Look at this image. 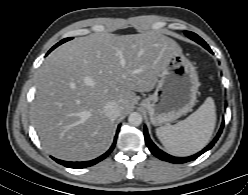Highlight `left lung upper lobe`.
Listing matches in <instances>:
<instances>
[{
  "instance_id": "obj_1",
  "label": "left lung upper lobe",
  "mask_w": 248,
  "mask_h": 195,
  "mask_svg": "<svg viewBox=\"0 0 248 195\" xmlns=\"http://www.w3.org/2000/svg\"><path fill=\"white\" fill-rule=\"evenodd\" d=\"M185 34L192 40L196 41L197 43H199L200 45H202L204 48L207 49V47H209L206 42L200 38L197 34L190 32V31H185Z\"/></svg>"
}]
</instances>
